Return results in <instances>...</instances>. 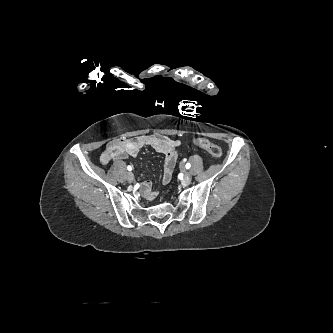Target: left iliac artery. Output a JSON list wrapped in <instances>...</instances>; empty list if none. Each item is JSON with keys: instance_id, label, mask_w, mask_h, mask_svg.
<instances>
[{"instance_id": "obj_1", "label": "left iliac artery", "mask_w": 333, "mask_h": 333, "mask_svg": "<svg viewBox=\"0 0 333 333\" xmlns=\"http://www.w3.org/2000/svg\"><path fill=\"white\" fill-rule=\"evenodd\" d=\"M185 167L186 169H189L191 167L190 163H186Z\"/></svg>"}]
</instances>
